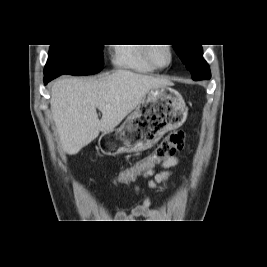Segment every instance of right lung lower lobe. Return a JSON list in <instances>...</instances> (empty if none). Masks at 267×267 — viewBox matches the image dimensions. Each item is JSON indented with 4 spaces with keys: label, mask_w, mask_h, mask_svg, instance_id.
Listing matches in <instances>:
<instances>
[{
    "label": "right lung lower lobe",
    "mask_w": 267,
    "mask_h": 267,
    "mask_svg": "<svg viewBox=\"0 0 267 267\" xmlns=\"http://www.w3.org/2000/svg\"><path fill=\"white\" fill-rule=\"evenodd\" d=\"M58 76H60V75H58V74H46V75H44V84H47L48 82H50L51 80L55 79Z\"/></svg>",
    "instance_id": "obj_1"
}]
</instances>
